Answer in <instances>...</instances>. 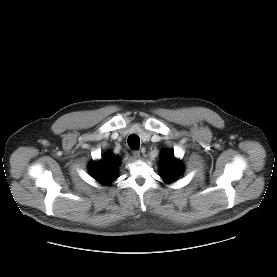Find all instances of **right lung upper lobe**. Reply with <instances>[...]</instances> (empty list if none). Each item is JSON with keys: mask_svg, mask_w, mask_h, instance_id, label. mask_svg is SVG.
Segmentation results:
<instances>
[{"mask_svg": "<svg viewBox=\"0 0 277 277\" xmlns=\"http://www.w3.org/2000/svg\"><path fill=\"white\" fill-rule=\"evenodd\" d=\"M118 165V157L107 153L101 160L91 163L89 171L98 182L108 185L118 177Z\"/></svg>", "mask_w": 277, "mask_h": 277, "instance_id": "obj_1", "label": "right lung upper lobe"}]
</instances>
